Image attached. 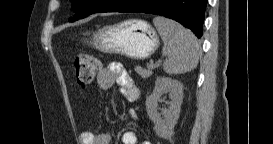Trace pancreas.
<instances>
[{"label":"pancreas","mask_w":273,"mask_h":144,"mask_svg":"<svg viewBox=\"0 0 273 144\" xmlns=\"http://www.w3.org/2000/svg\"><path fill=\"white\" fill-rule=\"evenodd\" d=\"M135 71L144 79L152 75V71L150 69H142L141 67H136Z\"/></svg>","instance_id":"obj_1"}]
</instances>
